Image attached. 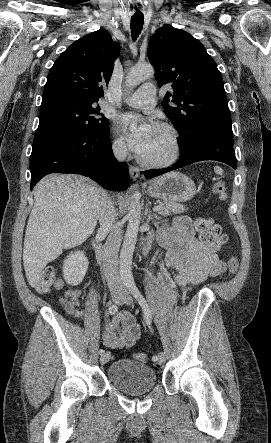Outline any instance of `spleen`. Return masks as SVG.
<instances>
[{
	"label": "spleen",
	"mask_w": 271,
	"mask_h": 443,
	"mask_svg": "<svg viewBox=\"0 0 271 443\" xmlns=\"http://www.w3.org/2000/svg\"><path fill=\"white\" fill-rule=\"evenodd\" d=\"M214 172H215V174H218V176H222V174H223V170H222V168H219V166H215Z\"/></svg>",
	"instance_id": "spleen-1"
}]
</instances>
